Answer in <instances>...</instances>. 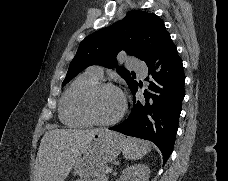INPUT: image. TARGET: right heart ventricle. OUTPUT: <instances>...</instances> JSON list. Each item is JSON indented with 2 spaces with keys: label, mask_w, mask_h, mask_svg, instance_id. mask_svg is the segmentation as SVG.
I'll return each mask as SVG.
<instances>
[{
  "label": "right heart ventricle",
  "mask_w": 228,
  "mask_h": 181,
  "mask_svg": "<svg viewBox=\"0 0 228 181\" xmlns=\"http://www.w3.org/2000/svg\"><path fill=\"white\" fill-rule=\"evenodd\" d=\"M100 77L81 74L67 89L62 101L60 117L63 122L77 126H87L92 122L83 110V102L88 90L99 81Z\"/></svg>",
  "instance_id": "right-heart-ventricle-1"
}]
</instances>
